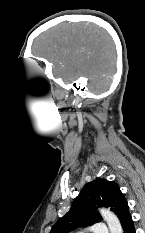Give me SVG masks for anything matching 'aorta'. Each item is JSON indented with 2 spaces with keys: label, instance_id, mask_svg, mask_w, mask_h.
Wrapping results in <instances>:
<instances>
[{
  "label": "aorta",
  "instance_id": "1",
  "mask_svg": "<svg viewBox=\"0 0 145 233\" xmlns=\"http://www.w3.org/2000/svg\"><path fill=\"white\" fill-rule=\"evenodd\" d=\"M99 212L102 215L103 219L106 221L110 233H123L120 221L114 213L105 208H101Z\"/></svg>",
  "mask_w": 145,
  "mask_h": 233
}]
</instances>
